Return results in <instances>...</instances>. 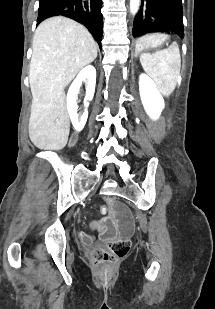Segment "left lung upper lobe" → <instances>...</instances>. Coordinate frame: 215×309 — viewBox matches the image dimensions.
<instances>
[{
    "label": "left lung upper lobe",
    "instance_id": "left-lung-upper-lobe-1",
    "mask_svg": "<svg viewBox=\"0 0 215 309\" xmlns=\"http://www.w3.org/2000/svg\"><path fill=\"white\" fill-rule=\"evenodd\" d=\"M181 0H141L133 24V36L165 31L184 36Z\"/></svg>",
    "mask_w": 215,
    "mask_h": 309
}]
</instances>
